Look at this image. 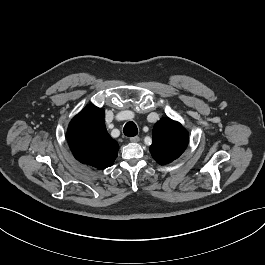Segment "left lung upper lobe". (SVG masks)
Segmentation results:
<instances>
[{"mask_svg": "<svg viewBox=\"0 0 265 265\" xmlns=\"http://www.w3.org/2000/svg\"><path fill=\"white\" fill-rule=\"evenodd\" d=\"M188 139V133L180 123L162 118L153 128L150 152L157 163L168 164L184 152Z\"/></svg>", "mask_w": 265, "mask_h": 265, "instance_id": "obj_1", "label": "left lung upper lobe"}]
</instances>
